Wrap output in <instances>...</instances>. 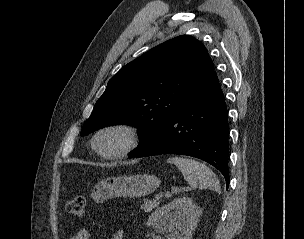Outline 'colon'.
<instances>
[{
	"mask_svg": "<svg viewBox=\"0 0 304 239\" xmlns=\"http://www.w3.org/2000/svg\"><path fill=\"white\" fill-rule=\"evenodd\" d=\"M65 208L72 216L81 218L85 215L86 199L83 196H76L67 201Z\"/></svg>",
	"mask_w": 304,
	"mask_h": 239,
	"instance_id": "5ec220e1",
	"label": "colon"
}]
</instances>
